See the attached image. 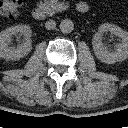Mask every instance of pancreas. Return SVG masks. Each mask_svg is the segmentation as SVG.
Segmentation results:
<instances>
[{"mask_svg":"<svg viewBox=\"0 0 128 128\" xmlns=\"http://www.w3.org/2000/svg\"><path fill=\"white\" fill-rule=\"evenodd\" d=\"M44 6L51 14L66 10L69 7L67 2H59L58 0H44Z\"/></svg>","mask_w":128,"mask_h":128,"instance_id":"obj_1","label":"pancreas"}]
</instances>
